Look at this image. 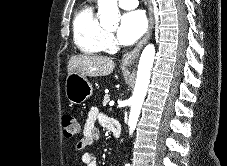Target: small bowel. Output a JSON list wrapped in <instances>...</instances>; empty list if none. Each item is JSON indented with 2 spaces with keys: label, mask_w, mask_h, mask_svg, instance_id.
Wrapping results in <instances>:
<instances>
[{
  "label": "small bowel",
  "mask_w": 227,
  "mask_h": 166,
  "mask_svg": "<svg viewBox=\"0 0 227 166\" xmlns=\"http://www.w3.org/2000/svg\"><path fill=\"white\" fill-rule=\"evenodd\" d=\"M110 118L103 115L97 107H92L88 111L87 119L83 127V135L76 144L78 152L84 151L86 148L93 146L100 138V131L96 127V122H100L105 127H109ZM97 155L90 152H83L81 161L84 166H96Z\"/></svg>",
  "instance_id": "small-bowel-1"
}]
</instances>
